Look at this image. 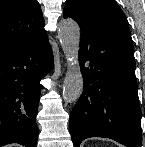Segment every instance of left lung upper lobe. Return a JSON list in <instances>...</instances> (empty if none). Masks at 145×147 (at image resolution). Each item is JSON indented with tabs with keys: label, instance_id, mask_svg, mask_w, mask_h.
Wrapping results in <instances>:
<instances>
[{
	"label": "left lung upper lobe",
	"instance_id": "left-lung-upper-lobe-1",
	"mask_svg": "<svg viewBox=\"0 0 145 147\" xmlns=\"http://www.w3.org/2000/svg\"><path fill=\"white\" fill-rule=\"evenodd\" d=\"M72 14L78 19L92 23H122L128 21L115 0H67L63 16Z\"/></svg>",
	"mask_w": 145,
	"mask_h": 147
}]
</instances>
